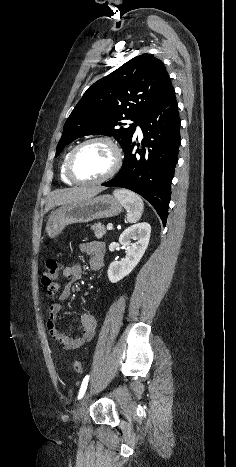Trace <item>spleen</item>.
<instances>
[{
    "label": "spleen",
    "instance_id": "3e777b00",
    "mask_svg": "<svg viewBox=\"0 0 236 467\" xmlns=\"http://www.w3.org/2000/svg\"><path fill=\"white\" fill-rule=\"evenodd\" d=\"M113 194L126 208L127 221L129 223H136L141 218L144 208V203L140 196L126 189L114 190Z\"/></svg>",
    "mask_w": 236,
    "mask_h": 467
}]
</instances>
